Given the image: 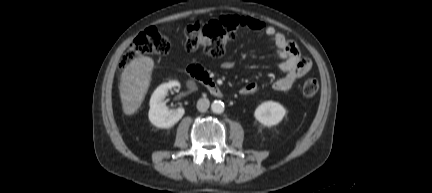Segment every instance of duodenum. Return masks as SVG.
I'll return each mask as SVG.
<instances>
[{"label": "duodenum", "mask_w": 432, "mask_h": 193, "mask_svg": "<svg viewBox=\"0 0 432 193\" xmlns=\"http://www.w3.org/2000/svg\"><path fill=\"white\" fill-rule=\"evenodd\" d=\"M187 75L205 85L207 90L215 97H222L223 91L220 86L210 77L208 72L200 66H190L186 70Z\"/></svg>", "instance_id": "obj_1"}]
</instances>
